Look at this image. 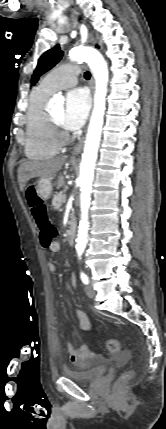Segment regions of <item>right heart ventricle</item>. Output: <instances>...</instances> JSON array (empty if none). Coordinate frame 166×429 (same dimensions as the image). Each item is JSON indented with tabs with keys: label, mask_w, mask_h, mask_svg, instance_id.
<instances>
[{
	"label": "right heart ventricle",
	"mask_w": 166,
	"mask_h": 429,
	"mask_svg": "<svg viewBox=\"0 0 166 429\" xmlns=\"http://www.w3.org/2000/svg\"><path fill=\"white\" fill-rule=\"evenodd\" d=\"M51 93L39 86L31 92L28 99L25 154L32 160L51 158L59 148L52 137L45 109Z\"/></svg>",
	"instance_id": "obj_1"
}]
</instances>
